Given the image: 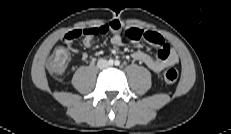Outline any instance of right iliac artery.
<instances>
[{
    "instance_id": "right-iliac-artery-1",
    "label": "right iliac artery",
    "mask_w": 231,
    "mask_h": 134,
    "mask_svg": "<svg viewBox=\"0 0 231 134\" xmlns=\"http://www.w3.org/2000/svg\"><path fill=\"white\" fill-rule=\"evenodd\" d=\"M108 63H109L110 65H113V63H114L113 59H110V60L108 61Z\"/></svg>"
}]
</instances>
